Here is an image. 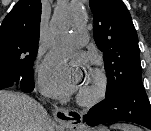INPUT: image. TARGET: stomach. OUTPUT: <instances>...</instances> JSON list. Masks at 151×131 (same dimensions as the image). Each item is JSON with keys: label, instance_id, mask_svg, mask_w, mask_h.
<instances>
[{"label": "stomach", "instance_id": "1", "mask_svg": "<svg viewBox=\"0 0 151 131\" xmlns=\"http://www.w3.org/2000/svg\"><path fill=\"white\" fill-rule=\"evenodd\" d=\"M93 131H109V130L104 126H99L96 129H94Z\"/></svg>", "mask_w": 151, "mask_h": 131}]
</instances>
